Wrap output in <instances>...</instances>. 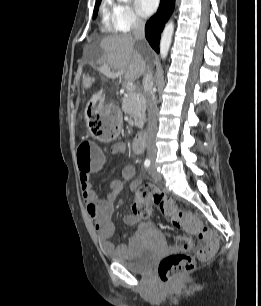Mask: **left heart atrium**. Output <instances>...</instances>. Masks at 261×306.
<instances>
[{"instance_id":"1","label":"left heart atrium","mask_w":261,"mask_h":306,"mask_svg":"<svg viewBox=\"0 0 261 306\" xmlns=\"http://www.w3.org/2000/svg\"><path fill=\"white\" fill-rule=\"evenodd\" d=\"M138 13L143 17H148L155 12L159 5V0H135Z\"/></svg>"}]
</instances>
